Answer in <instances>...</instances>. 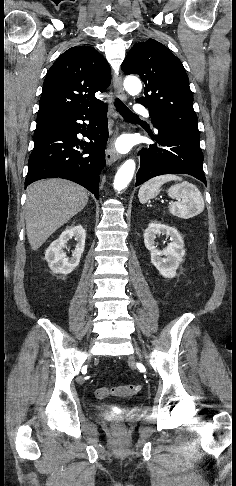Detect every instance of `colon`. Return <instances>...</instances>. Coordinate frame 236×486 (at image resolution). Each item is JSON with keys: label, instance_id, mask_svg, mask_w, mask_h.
<instances>
[{"label": "colon", "instance_id": "obj_1", "mask_svg": "<svg viewBox=\"0 0 236 486\" xmlns=\"http://www.w3.org/2000/svg\"><path fill=\"white\" fill-rule=\"evenodd\" d=\"M141 390L142 386L139 384L121 385L114 387H100L95 391V396L99 400L106 399L110 396L130 398L137 395ZM114 428L119 431L121 429L120 423L115 422Z\"/></svg>", "mask_w": 236, "mask_h": 486}]
</instances>
